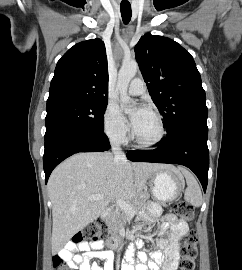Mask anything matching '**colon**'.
Returning <instances> with one entry per match:
<instances>
[{
  "label": "colon",
  "mask_w": 242,
  "mask_h": 270,
  "mask_svg": "<svg viewBox=\"0 0 242 270\" xmlns=\"http://www.w3.org/2000/svg\"><path fill=\"white\" fill-rule=\"evenodd\" d=\"M174 213L183 220H191L193 218V207L187 202H179L174 207ZM108 235V227L105 221L96 220L91 222L83 231L76 234L72 240L78 244L85 241L95 240L106 237ZM181 254V270H196V260L198 256L197 236L191 231L182 240L180 249ZM54 270H75L70 267L61 255H55L52 259Z\"/></svg>",
  "instance_id": "obj_1"
}]
</instances>
